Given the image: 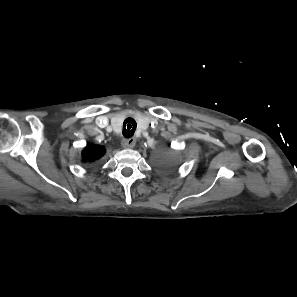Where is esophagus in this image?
Returning <instances> with one entry per match:
<instances>
[{"label":"esophagus","instance_id":"esophagus-1","mask_svg":"<svg viewBox=\"0 0 297 297\" xmlns=\"http://www.w3.org/2000/svg\"><path fill=\"white\" fill-rule=\"evenodd\" d=\"M135 144H136V140L134 137L122 140V146L124 148H133Z\"/></svg>","mask_w":297,"mask_h":297}]
</instances>
